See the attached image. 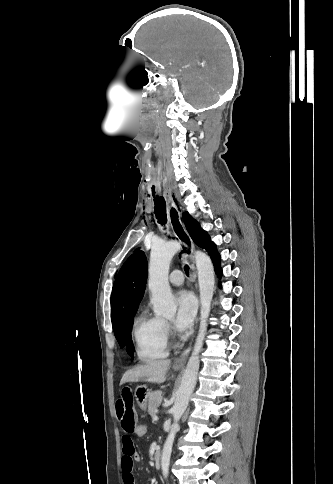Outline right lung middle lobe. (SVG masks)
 Returning <instances> with one entry per match:
<instances>
[{"label": "right lung middle lobe", "mask_w": 333, "mask_h": 484, "mask_svg": "<svg viewBox=\"0 0 333 484\" xmlns=\"http://www.w3.org/2000/svg\"><path fill=\"white\" fill-rule=\"evenodd\" d=\"M134 315L135 312L129 315L116 329H113L120 347H127L128 353L131 357H133L134 351L133 342L131 340V327Z\"/></svg>", "instance_id": "dd1d6c3e"}]
</instances>
